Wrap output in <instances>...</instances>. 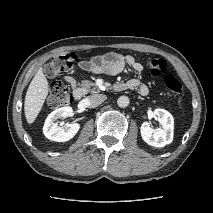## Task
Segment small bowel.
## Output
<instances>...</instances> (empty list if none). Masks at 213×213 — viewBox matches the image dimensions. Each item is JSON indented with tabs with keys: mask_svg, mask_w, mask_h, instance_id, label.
Segmentation results:
<instances>
[{
	"mask_svg": "<svg viewBox=\"0 0 213 213\" xmlns=\"http://www.w3.org/2000/svg\"><path fill=\"white\" fill-rule=\"evenodd\" d=\"M78 66L85 71H90L96 74L105 73L111 76L121 73L126 68H130L136 73H140L143 69L142 64L133 56L116 53H108L106 55L95 56L83 60L79 62ZM65 80L72 88L76 87L77 81L73 76H66ZM119 84H125L127 86L126 89L138 88L139 93L144 96L149 93L147 85L143 84L139 77L133 78L127 82L118 83L117 85Z\"/></svg>",
	"mask_w": 213,
	"mask_h": 213,
	"instance_id": "small-bowel-1",
	"label": "small bowel"
}]
</instances>
